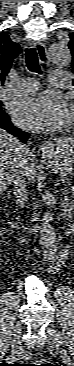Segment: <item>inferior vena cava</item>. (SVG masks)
<instances>
[{"label":"inferior vena cava","instance_id":"obj_1","mask_svg":"<svg viewBox=\"0 0 74 366\" xmlns=\"http://www.w3.org/2000/svg\"><path fill=\"white\" fill-rule=\"evenodd\" d=\"M20 150L22 153L20 154V162L17 171L13 175L12 182H13V194L16 197V204H19L20 207H24L25 202L27 200V178L24 173V166L26 163V155L29 154V148L26 145H21Z\"/></svg>","mask_w":74,"mask_h":366}]
</instances>
